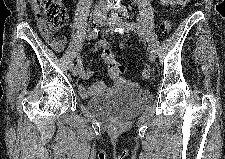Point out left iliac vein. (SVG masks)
Wrapping results in <instances>:
<instances>
[{
    "label": "left iliac vein",
    "instance_id": "1",
    "mask_svg": "<svg viewBox=\"0 0 225 159\" xmlns=\"http://www.w3.org/2000/svg\"><path fill=\"white\" fill-rule=\"evenodd\" d=\"M102 25L109 26H118L120 28L125 29L126 31H131L132 28L128 21H125L120 18H108L107 16H103V20L101 22ZM148 55L151 62H154L156 59V53L152 47L148 48Z\"/></svg>",
    "mask_w": 225,
    "mask_h": 159
}]
</instances>
